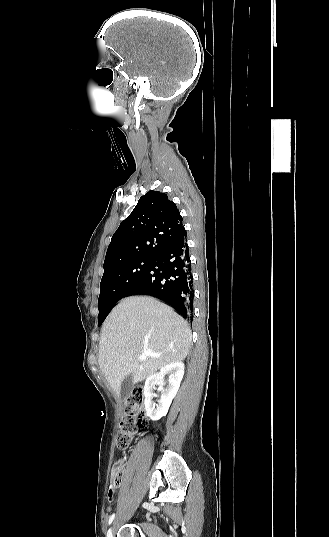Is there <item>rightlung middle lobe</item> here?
Returning <instances> with one entry per match:
<instances>
[{
  "label": "right lung middle lobe",
  "mask_w": 329,
  "mask_h": 537,
  "mask_svg": "<svg viewBox=\"0 0 329 537\" xmlns=\"http://www.w3.org/2000/svg\"><path fill=\"white\" fill-rule=\"evenodd\" d=\"M152 258H141L122 265L104 269L98 299V325H101L110 309L125 297L131 287L149 267Z\"/></svg>",
  "instance_id": "1"
}]
</instances>
